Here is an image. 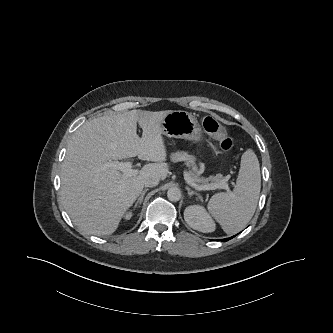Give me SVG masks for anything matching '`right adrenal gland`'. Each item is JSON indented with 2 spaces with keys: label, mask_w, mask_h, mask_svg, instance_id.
Segmentation results:
<instances>
[{
  "label": "right adrenal gland",
  "mask_w": 333,
  "mask_h": 333,
  "mask_svg": "<svg viewBox=\"0 0 333 333\" xmlns=\"http://www.w3.org/2000/svg\"><path fill=\"white\" fill-rule=\"evenodd\" d=\"M149 189H145V190H143V192L141 193V195L139 196V198L137 199V201H136V203H135V208L137 207V205L138 204H141L142 203V201H143V198H144V196H145V194H146V192L148 191Z\"/></svg>",
  "instance_id": "right-adrenal-gland-1"
}]
</instances>
